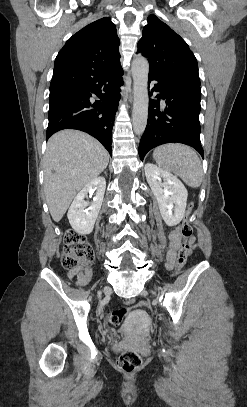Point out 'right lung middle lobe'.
<instances>
[{"label":"right lung middle lobe","instance_id":"dd1d6c3e","mask_svg":"<svg viewBox=\"0 0 247 407\" xmlns=\"http://www.w3.org/2000/svg\"><path fill=\"white\" fill-rule=\"evenodd\" d=\"M81 91V88H67V89H58V90H50L49 101L59 98L61 96L76 93Z\"/></svg>","mask_w":247,"mask_h":407}]
</instances>
